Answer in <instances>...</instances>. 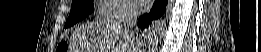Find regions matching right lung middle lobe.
Returning a JSON list of instances; mask_svg holds the SVG:
<instances>
[{
  "label": "right lung middle lobe",
  "instance_id": "dd1d6c3e",
  "mask_svg": "<svg viewBox=\"0 0 261 52\" xmlns=\"http://www.w3.org/2000/svg\"><path fill=\"white\" fill-rule=\"evenodd\" d=\"M94 10L93 0H73L69 17L64 28L83 20Z\"/></svg>",
  "mask_w": 261,
  "mask_h": 52
}]
</instances>
